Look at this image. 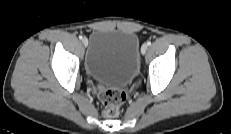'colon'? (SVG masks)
Here are the masks:
<instances>
[{
    "label": "colon",
    "mask_w": 231,
    "mask_h": 134,
    "mask_svg": "<svg viewBox=\"0 0 231 134\" xmlns=\"http://www.w3.org/2000/svg\"><path fill=\"white\" fill-rule=\"evenodd\" d=\"M99 98L103 105V114L113 118L118 115L122 104L126 100V93L123 90L103 88L100 89Z\"/></svg>",
    "instance_id": "5ec220e1"
}]
</instances>
